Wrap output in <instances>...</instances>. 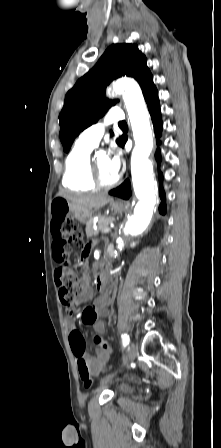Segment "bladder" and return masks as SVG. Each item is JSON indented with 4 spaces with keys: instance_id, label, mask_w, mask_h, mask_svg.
I'll return each mask as SVG.
<instances>
[{
    "instance_id": "obj_1",
    "label": "bladder",
    "mask_w": 221,
    "mask_h": 448,
    "mask_svg": "<svg viewBox=\"0 0 221 448\" xmlns=\"http://www.w3.org/2000/svg\"><path fill=\"white\" fill-rule=\"evenodd\" d=\"M129 391H130V387L126 383H122L117 389V392L119 394H125V393H128Z\"/></svg>"
}]
</instances>
